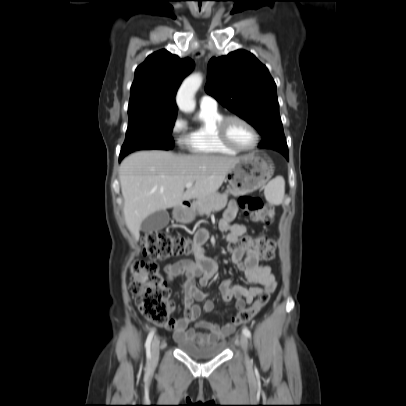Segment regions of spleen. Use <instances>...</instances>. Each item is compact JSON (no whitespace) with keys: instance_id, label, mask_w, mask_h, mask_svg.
<instances>
[{"instance_id":"1","label":"spleen","mask_w":406,"mask_h":406,"mask_svg":"<svg viewBox=\"0 0 406 406\" xmlns=\"http://www.w3.org/2000/svg\"><path fill=\"white\" fill-rule=\"evenodd\" d=\"M267 201L274 205H279L283 202L285 194V181L282 176H277L271 180L264 190Z\"/></svg>"}]
</instances>
